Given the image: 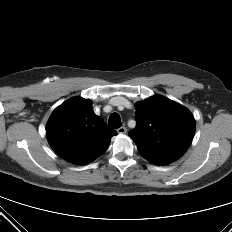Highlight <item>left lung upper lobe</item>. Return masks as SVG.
Masks as SVG:
<instances>
[{"mask_svg": "<svg viewBox=\"0 0 232 232\" xmlns=\"http://www.w3.org/2000/svg\"><path fill=\"white\" fill-rule=\"evenodd\" d=\"M195 133V120L182 105L160 95L136 104V130L129 136L149 162L167 165L188 149Z\"/></svg>", "mask_w": 232, "mask_h": 232, "instance_id": "obj_1", "label": "left lung upper lobe"}]
</instances>
